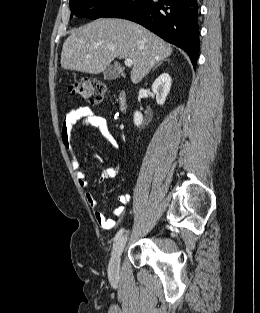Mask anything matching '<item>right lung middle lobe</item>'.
Instances as JSON below:
<instances>
[{
  "instance_id": "right-lung-middle-lobe-1",
  "label": "right lung middle lobe",
  "mask_w": 260,
  "mask_h": 313,
  "mask_svg": "<svg viewBox=\"0 0 260 313\" xmlns=\"http://www.w3.org/2000/svg\"><path fill=\"white\" fill-rule=\"evenodd\" d=\"M123 0H70L73 16L97 19L103 17Z\"/></svg>"
}]
</instances>
